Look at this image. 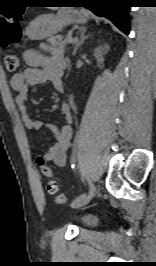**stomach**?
<instances>
[{
    "label": "stomach",
    "instance_id": "obj_1",
    "mask_svg": "<svg viewBox=\"0 0 156 266\" xmlns=\"http://www.w3.org/2000/svg\"><path fill=\"white\" fill-rule=\"evenodd\" d=\"M87 22V14L75 8H61L56 15L46 14L38 16L27 28V35L34 40H44L72 23Z\"/></svg>",
    "mask_w": 156,
    "mask_h": 266
}]
</instances>
